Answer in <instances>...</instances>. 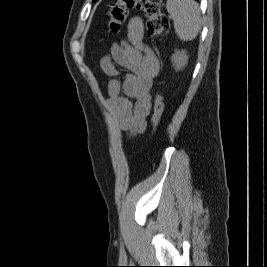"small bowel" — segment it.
<instances>
[{"label": "small bowel", "mask_w": 267, "mask_h": 267, "mask_svg": "<svg viewBox=\"0 0 267 267\" xmlns=\"http://www.w3.org/2000/svg\"><path fill=\"white\" fill-rule=\"evenodd\" d=\"M103 72L111 77L107 85V106L118 127L130 135L145 131L152 107L151 88L159 73V60L144 40V23L132 18L127 40L116 43L110 55L100 61ZM118 67L129 70L123 81Z\"/></svg>", "instance_id": "obj_1"}]
</instances>
